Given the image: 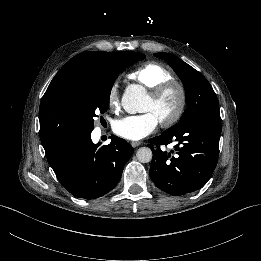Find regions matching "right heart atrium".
Returning <instances> with one entry per match:
<instances>
[{
  "label": "right heart atrium",
  "mask_w": 261,
  "mask_h": 261,
  "mask_svg": "<svg viewBox=\"0 0 261 261\" xmlns=\"http://www.w3.org/2000/svg\"><path fill=\"white\" fill-rule=\"evenodd\" d=\"M107 105L110 109H118L120 106V99L116 86H113L108 93Z\"/></svg>",
  "instance_id": "1"
}]
</instances>
